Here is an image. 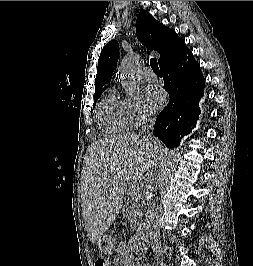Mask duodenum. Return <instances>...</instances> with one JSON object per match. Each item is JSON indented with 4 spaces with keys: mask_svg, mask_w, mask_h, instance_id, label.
<instances>
[{
    "mask_svg": "<svg viewBox=\"0 0 253 266\" xmlns=\"http://www.w3.org/2000/svg\"><path fill=\"white\" fill-rule=\"evenodd\" d=\"M123 266H129L128 259H124L122 262Z\"/></svg>",
    "mask_w": 253,
    "mask_h": 266,
    "instance_id": "obj_1",
    "label": "duodenum"
}]
</instances>
